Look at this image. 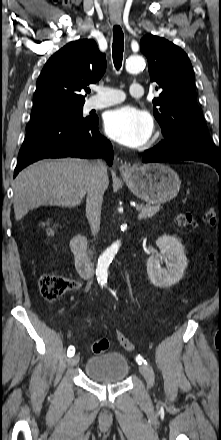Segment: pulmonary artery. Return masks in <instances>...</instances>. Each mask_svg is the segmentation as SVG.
<instances>
[{
    "instance_id": "e3ab8cb5",
    "label": "pulmonary artery",
    "mask_w": 221,
    "mask_h": 440,
    "mask_svg": "<svg viewBox=\"0 0 221 440\" xmlns=\"http://www.w3.org/2000/svg\"><path fill=\"white\" fill-rule=\"evenodd\" d=\"M96 91L97 94L87 100L85 104L86 110L109 107L123 102L126 98L125 93L117 88L100 87ZM129 93L132 97L140 98L144 96L145 91L141 84L132 83L129 87Z\"/></svg>"
}]
</instances>
